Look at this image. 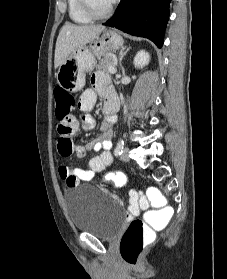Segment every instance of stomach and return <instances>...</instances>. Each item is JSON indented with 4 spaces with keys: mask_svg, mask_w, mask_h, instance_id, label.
<instances>
[{
    "mask_svg": "<svg viewBox=\"0 0 227 279\" xmlns=\"http://www.w3.org/2000/svg\"><path fill=\"white\" fill-rule=\"evenodd\" d=\"M123 43L124 40L118 33L105 30L101 37L75 49L59 66L56 73L57 83L66 91H80L85 85L86 73L91 72L95 67L96 57L122 48Z\"/></svg>",
    "mask_w": 227,
    "mask_h": 279,
    "instance_id": "stomach-1",
    "label": "stomach"
}]
</instances>
